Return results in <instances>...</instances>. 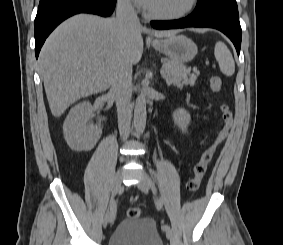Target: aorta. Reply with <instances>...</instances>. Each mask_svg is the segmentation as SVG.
<instances>
[{
  "label": "aorta",
  "mask_w": 283,
  "mask_h": 245,
  "mask_svg": "<svg viewBox=\"0 0 283 245\" xmlns=\"http://www.w3.org/2000/svg\"><path fill=\"white\" fill-rule=\"evenodd\" d=\"M146 118V96L141 93L136 99L134 109V128L137 135H141L144 132L146 126Z\"/></svg>",
  "instance_id": "1"
}]
</instances>
